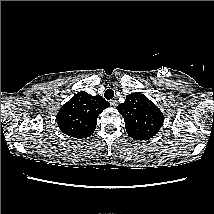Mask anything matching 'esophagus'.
<instances>
[{
	"mask_svg": "<svg viewBox=\"0 0 214 214\" xmlns=\"http://www.w3.org/2000/svg\"><path fill=\"white\" fill-rule=\"evenodd\" d=\"M110 104L111 106L115 107L117 105V100L115 99L110 100Z\"/></svg>",
	"mask_w": 214,
	"mask_h": 214,
	"instance_id": "34e87169",
	"label": "esophagus"
}]
</instances>
